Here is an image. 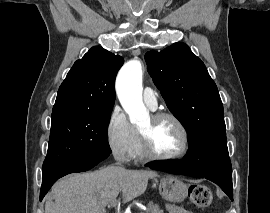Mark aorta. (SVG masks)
<instances>
[{
  "label": "aorta",
  "instance_id": "762f6f07",
  "mask_svg": "<svg viewBox=\"0 0 270 213\" xmlns=\"http://www.w3.org/2000/svg\"><path fill=\"white\" fill-rule=\"evenodd\" d=\"M116 91L132 124H139L148 118L149 113L142 100V66L139 61L131 60L121 68Z\"/></svg>",
  "mask_w": 270,
  "mask_h": 213
}]
</instances>
